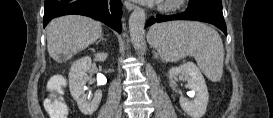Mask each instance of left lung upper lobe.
Instances as JSON below:
<instances>
[{"mask_svg": "<svg viewBox=\"0 0 273 118\" xmlns=\"http://www.w3.org/2000/svg\"><path fill=\"white\" fill-rule=\"evenodd\" d=\"M189 5L192 7H202L222 13L221 0H190Z\"/></svg>", "mask_w": 273, "mask_h": 118, "instance_id": "obj_1", "label": "left lung upper lobe"}]
</instances>
